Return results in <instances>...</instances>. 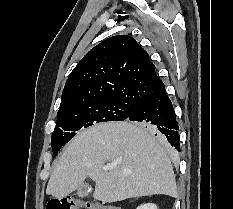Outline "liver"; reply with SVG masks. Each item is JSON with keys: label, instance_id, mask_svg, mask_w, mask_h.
Wrapping results in <instances>:
<instances>
[{"label": "liver", "instance_id": "liver-1", "mask_svg": "<svg viewBox=\"0 0 233 209\" xmlns=\"http://www.w3.org/2000/svg\"><path fill=\"white\" fill-rule=\"evenodd\" d=\"M155 131L129 121L102 123L79 132L60 156L46 193L61 199L95 181L103 203L155 194L178 196L173 167ZM107 164L113 166L107 170Z\"/></svg>", "mask_w": 233, "mask_h": 209}]
</instances>
